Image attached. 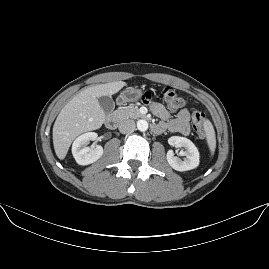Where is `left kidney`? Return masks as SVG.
Returning a JSON list of instances; mask_svg holds the SVG:
<instances>
[{"label":"left kidney","instance_id":"1","mask_svg":"<svg viewBox=\"0 0 269 269\" xmlns=\"http://www.w3.org/2000/svg\"><path fill=\"white\" fill-rule=\"evenodd\" d=\"M168 144L183 148L179 152L180 157H185L183 160L176 157L172 149L167 151V160L169 164L176 170L186 171L195 168L199 163V152L192 141L181 136H171L168 138Z\"/></svg>","mask_w":269,"mask_h":269}]
</instances>
